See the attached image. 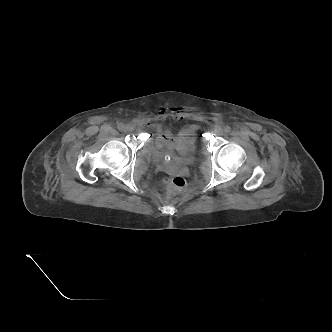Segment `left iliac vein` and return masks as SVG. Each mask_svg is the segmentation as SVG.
<instances>
[{"instance_id":"obj_1","label":"left iliac vein","mask_w":332,"mask_h":332,"mask_svg":"<svg viewBox=\"0 0 332 332\" xmlns=\"http://www.w3.org/2000/svg\"><path fill=\"white\" fill-rule=\"evenodd\" d=\"M215 133L217 135H223L224 134V130L221 127H218L215 129Z\"/></svg>"}]
</instances>
